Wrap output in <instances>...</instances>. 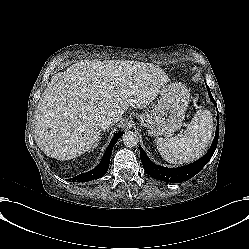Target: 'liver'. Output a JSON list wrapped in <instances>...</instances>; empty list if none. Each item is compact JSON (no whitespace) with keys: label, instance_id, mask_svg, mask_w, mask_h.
Listing matches in <instances>:
<instances>
[{"label":"liver","instance_id":"1","mask_svg":"<svg viewBox=\"0 0 249 249\" xmlns=\"http://www.w3.org/2000/svg\"><path fill=\"white\" fill-rule=\"evenodd\" d=\"M162 72L129 62L89 61L57 74L35 115V141L48 156L70 160L95 147L102 121L146 108L160 92ZM117 121V122H118Z\"/></svg>","mask_w":249,"mask_h":249}]
</instances>
